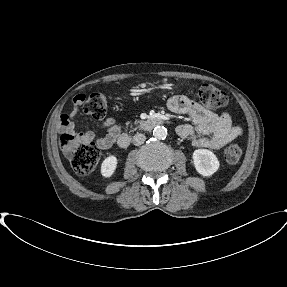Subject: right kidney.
I'll return each instance as SVG.
<instances>
[{"label": "right kidney", "mask_w": 287, "mask_h": 287, "mask_svg": "<svg viewBox=\"0 0 287 287\" xmlns=\"http://www.w3.org/2000/svg\"><path fill=\"white\" fill-rule=\"evenodd\" d=\"M117 167V158L114 155L108 156L101 164V174L105 178L113 175Z\"/></svg>", "instance_id": "obj_1"}]
</instances>
